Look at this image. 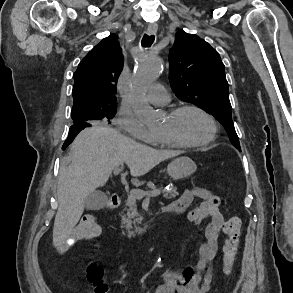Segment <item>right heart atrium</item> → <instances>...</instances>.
Here are the masks:
<instances>
[{
  "mask_svg": "<svg viewBox=\"0 0 293 293\" xmlns=\"http://www.w3.org/2000/svg\"><path fill=\"white\" fill-rule=\"evenodd\" d=\"M116 126L131 137L151 143L155 135L143 126L128 110L121 109L115 120Z\"/></svg>",
  "mask_w": 293,
  "mask_h": 293,
  "instance_id": "right-heart-atrium-1",
  "label": "right heart atrium"
}]
</instances>
